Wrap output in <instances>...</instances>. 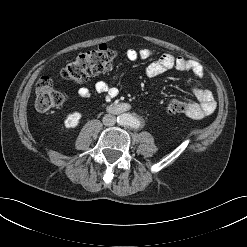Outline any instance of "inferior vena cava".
Segmentation results:
<instances>
[{
  "instance_id": "1",
  "label": "inferior vena cava",
  "mask_w": 247,
  "mask_h": 247,
  "mask_svg": "<svg viewBox=\"0 0 247 247\" xmlns=\"http://www.w3.org/2000/svg\"><path fill=\"white\" fill-rule=\"evenodd\" d=\"M103 124L105 125V126H108V127H110V126H113V125H115V123H116V117L115 116H113V115H111V114H106L104 117H103Z\"/></svg>"
}]
</instances>
